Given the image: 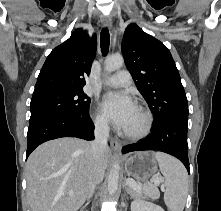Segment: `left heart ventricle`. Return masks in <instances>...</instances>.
Here are the masks:
<instances>
[{"mask_svg": "<svg viewBox=\"0 0 221 211\" xmlns=\"http://www.w3.org/2000/svg\"><path fill=\"white\" fill-rule=\"evenodd\" d=\"M143 124L144 117L142 113L137 108H135L127 125L123 130L127 132H137L142 128Z\"/></svg>", "mask_w": 221, "mask_h": 211, "instance_id": "obj_1", "label": "left heart ventricle"}]
</instances>
